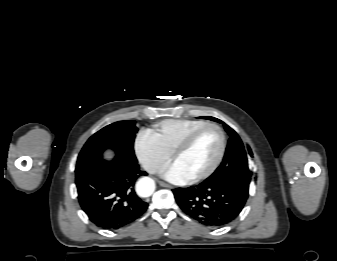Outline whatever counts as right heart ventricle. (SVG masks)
<instances>
[{"instance_id": "obj_1", "label": "right heart ventricle", "mask_w": 337, "mask_h": 261, "mask_svg": "<svg viewBox=\"0 0 337 261\" xmlns=\"http://www.w3.org/2000/svg\"><path fill=\"white\" fill-rule=\"evenodd\" d=\"M203 124L204 121L197 119H168L155 124L149 132L168 153L172 154L189 132Z\"/></svg>"}]
</instances>
